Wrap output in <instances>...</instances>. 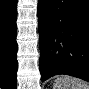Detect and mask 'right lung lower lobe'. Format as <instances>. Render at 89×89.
<instances>
[{
  "label": "right lung lower lobe",
  "mask_w": 89,
  "mask_h": 89,
  "mask_svg": "<svg viewBox=\"0 0 89 89\" xmlns=\"http://www.w3.org/2000/svg\"><path fill=\"white\" fill-rule=\"evenodd\" d=\"M17 0L0 3V78L4 89L17 87Z\"/></svg>",
  "instance_id": "1"
}]
</instances>
